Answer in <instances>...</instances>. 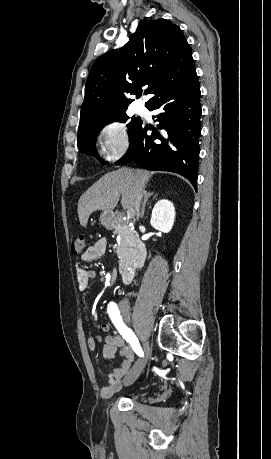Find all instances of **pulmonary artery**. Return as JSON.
<instances>
[{"mask_svg":"<svg viewBox=\"0 0 271 459\" xmlns=\"http://www.w3.org/2000/svg\"><path fill=\"white\" fill-rule=\"evenodd\" d=\"M134 112H135V114L143 116L145 118H149L150 117L149 110L143 104H140V103H138L135 106Z\"/></svg>","mask_w":271,"mask_h":459,"instance_id":"e3ab8cb5","label":"pulmonary artery"}]
</instances>
